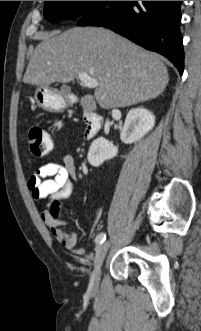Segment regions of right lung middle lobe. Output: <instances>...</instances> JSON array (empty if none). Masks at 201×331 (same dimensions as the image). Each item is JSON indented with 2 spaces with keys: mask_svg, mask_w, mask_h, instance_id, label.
<instances>
[{
  "mask_svg": "<svg viewBox=\"0 0 201 331\" xmlns=\"http://www.w3.org/2000/svg\"><path fill=\"white\" fill-rule=\"evenodd\" d=\"M102 1H45L44 16L50 22L65 18H81Z\"/></svg>",
  "mask_w": 201,
  "mask_h": 331,
  "instance_id": "dd1d6c3e",
  "label": "right lung middle lobe"
}]
</instances>
